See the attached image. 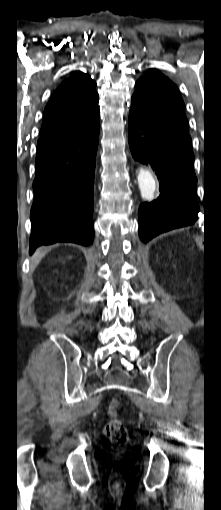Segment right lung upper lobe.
Segmentation results:
<instances>
[{"mask_svg":"<svg viewBox=\"0 0 221 510\" xmlns=\"http://www.w3.org/2000/svg\"><path fill=\"white\" fill-rule=\"evenodd\" d=\"M95 86V81L80 71L61 83L45 107L37 145L81 132L99 118Z\"/></svg>","mask_w":221,"mask_h":510,"instance_id":"1","label":"right lung upper lobe"}]
</instances>
